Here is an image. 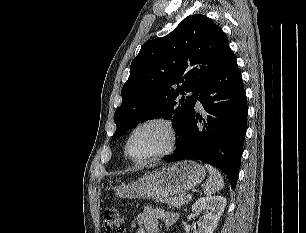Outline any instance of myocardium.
Listing matches in <instances>:
<instances>
[{"label":"myocardium","mask_w":306,"mask_h":233,"mask_svg":"<svg viewBox=\"0 0 306 233\" xmlns=\"http://www.w3.org/2000/svg\"><path fill=\"white\" fill-rule=\"evenodd\" d=\"M150 124H160L162 126L165 127V129L168 132V136H169V141H168V145L167 147L155 154L146 156V157H142V158H134L130 155L129 150H128V146H129V142L132 138V136L135 134L136 131H138L140 128L150 125ZM178 139H179V133H178V129L174 123V121L168 117L165 116H154V117H150L147 118L141 122H139L128 134L126 140H125V144H124V154L126 155V157L133 161V162H146V161H151L154 159H158V158H162L165 157L171 153H173L177 147L178 144Z\"/></svg>","instance_id":"myocardium-1"}]
</instances>
